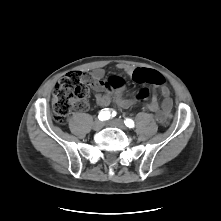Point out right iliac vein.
I'll use <instances>...</instances> for the list:
<instances>
[{
    "instance_id": "obj_1",
    "label": "right iliac vein",
    "mask_w": 221,
    "mask_h": 221,
    "mask_svg": "<svg viewBox=\"0 0 221 221\" xmlns=\"http://www.w3.org/2000/svg\"><path fill=\"white\" fill-rule=\"evenodd\" d=\"M104 123L101 120H95V122L93 123V129L96 131H99L103 128Z\"/></svg>"
}]
</instances>
